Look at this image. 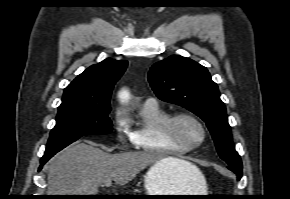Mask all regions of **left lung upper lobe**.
<instances>
[{"mask_svg": "<svg viewBox=\"0 0 290 199\" xmlns=\"http://www.w3.org/2000/svg\"><path fill=\"white\" fill-rule=\"evenodd\" d=\"M148 80L159 99L180 105L206 122L220 157L228 165L242 166L218 86L204 66L173 55L154 64Z\"/></svg>", "mask_w": 290, "mask_h": 199, "instance_id": "obj_1", "label": "left lung upper lobe"}]
</instances>
